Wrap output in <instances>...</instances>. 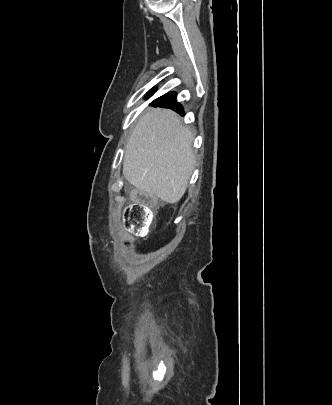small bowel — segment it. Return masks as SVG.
Here are the masks:
<instances>
[{
    "mask_svg": "<svg viewBox=\"0 0 332 405\" xmlns=\"http://www.w3.org/2000/svg\"><path fill=\"white\" fill-rule=\"evenodd\" d=\"M118 182L120 186H127L129 181L127 177H120Z\"/></svg>",
    "mask_w": 332,
    "mask_h": 405,
    "instance_id": "small-bowel-1",
    "label": "small bowel"
}]
</instances>
